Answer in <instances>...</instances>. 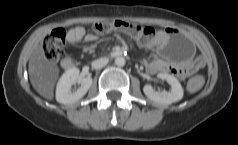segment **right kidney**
Segmentation results:
<instances>
[{"label":"right kidney","mask_w":238,"mask_h":145,"mask_svg":"<svg viewBox=\"0 0 238 145\" xmlns=\"http://www.w3.org/2000/svg\"><path fill=\"white\" fill-rule=\"evenodd\" d=\"M79 69L76 67L65 71L57 83L56 100L61 104H72L79 101L92 85L91 77H83L79 80ZM79 80L81 86L76 92L71 87Z\"/></svg>","instance_id":"1"}]
</instances>
